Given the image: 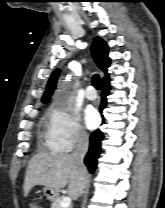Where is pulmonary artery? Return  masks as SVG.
Listing matches in <instances>:
<instances>
[{
	"instance_id": "e3ab8cb5",
	"label": "pulmonary artery",
	"mask_w": 165,
	"mask_h": 208,
	"mask_svg": "<svg viewBox=\"0 0 165 208\" xmlns=\"http://www.w3.org/2000/svg\"><path fill=\"white\" fill-rule=\"evenodd\" d=\"M85 97L88 100H95L96 99V93L91 87H88L85 91Z\"/></svg>"
}]
</instances>
